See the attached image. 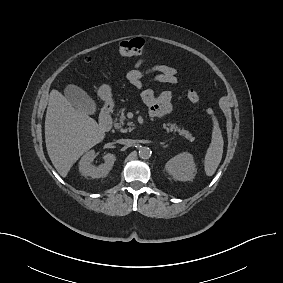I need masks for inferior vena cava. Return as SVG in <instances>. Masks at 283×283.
Returning <instances> with one entry per match:
<instances>
[{"mask_svg": "<svg viewBox=\"0 0 283 283\" xmlns=\"http://www.w3.org/2000/svg\"><path fill=\"white\" fill-rule=\"evenodd\" d=\"M119 143L127 145V144H131L132 140H130V139H120Z\"/></svg>", "mask_w": 283, "mask_h": 283, "instance_id": "obj_1", "label": "inferior vena cava"}]
</instances>
